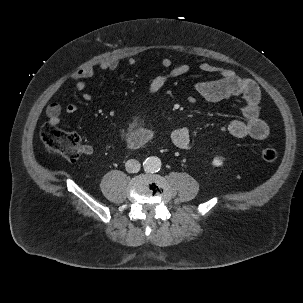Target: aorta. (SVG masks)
Returning a JSON list of instances; mask_svg holds the SVG:
<instances>
[{
  "instance_id": "obj_1",
  "label": "aorta",
  "mask_w": 303,
  "mask_h": 303,
  "mask_svg": "<svg viewBox=\"0 0 303 303\" xmlns=\"http://www.w3.org/2000/svg\"><path fill=\"white\" fill-rule=\"evenodd\" d=\"M143 167L146 172H158L161 168V160L156 156H150L145 159Z\"/></svg>"
}]
</instances>
